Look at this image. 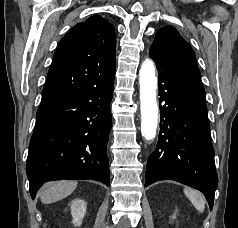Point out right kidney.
Masks as SVG:
<instances>
[{"instance_id":"right-kidney-1","label":"right kidney","mask_w":238,"mask_h":228,"mask_svg":"<svg viewBox=\"0 0 238 228\" xmlns=\"http://www.w3.org/2000/svg\"><path fill=\"white\" fill-rule=\"evenodd\" d=\"M87 203L82 199H74L71 202L70 209L73 217L72 223L77 227L82 224V220L86 214Z\"/></svg>"}]
</instances>
